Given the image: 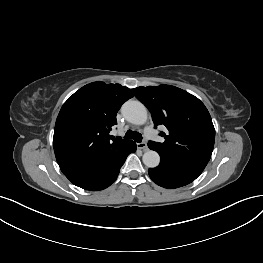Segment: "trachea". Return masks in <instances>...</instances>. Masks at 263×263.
<instances>
[{
    "label": "trachea",
    "mask_w": 263,
    "mask_h": 263,
    "mask_svg": "<svg viewBox=\"0 0 263 263\" xmlns=\"http://www.w3.org/2000/svg\"><path fill=\"white\" fill-rule=\"evenodd\" d=\"M125 139H133L134 141L140 143L142 142V135L139 132L128 130L124 136Z\"/></svg>",
    "instance_id": "trachea-1"
}]
</instances>
